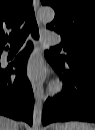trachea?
I'll return each instance as SVG.
<instances>
[{"mask_svg": "<svg viewBox=\"0 0 95 130\" xmlns=\"http://www.w3.org/2000/svg\"><path fill=\"white\" fill-rule=\"evenodd\" d=\"M29 33H31L34 39H39V29L35 19V13L33 8L29 10L25 25L21 32L12 40H10L11 47L21 46L29 35Z\"/></svg>", "mask_w": 95, "mask_h": 130, "instance_id": "1", "label": "trachea"}]
</instances>
